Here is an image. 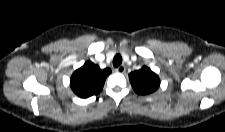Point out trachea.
Here are the masks:
<instances>
[{
  "mask_svg": "<svg viewBox=\"0 0 225 132\" xmlns=\"http://www.w3.org/2000/svg\"><path fill=\"white\" fill-rule=\"evenodd\" d=\"M122 63V57L120 54L115 55V57L113 58V65L115 67H118L119 65H121Z\"/></svg>",
  "mask_w": 225,
  "mask_h": 132,
  "instance_id": "trachea-1",
  "label": "trachea"
}]
</instances>
